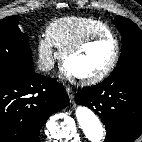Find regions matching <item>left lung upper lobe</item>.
Listing matches in <instances>:
<instances>
[{"instance_id": "left-lung-upper-lobe-1", "label": "left lung upper lobe", "mask_w": 142, "mask_h": 142, "mask_svg": "<svg viewBox=\"0 0 142 142\" xmlns=\"http://www.w3.org/2000/svg\"><path fill=\"white\" fill-rule=\"evenodd\" d=\"M115 25L122 35V54L106 80L142 77V31L131 20L121 16H116Z\"/></svg>"}]
</instances>
